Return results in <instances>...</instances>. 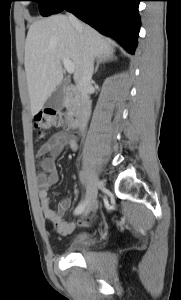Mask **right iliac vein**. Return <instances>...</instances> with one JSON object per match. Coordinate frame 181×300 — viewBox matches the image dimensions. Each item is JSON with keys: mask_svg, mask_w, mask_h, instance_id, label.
I'll return each mask as SVG.
<instances>
[{"mask_svg": "<svg viewBox=\"0 0 181 300\" xmlns=\"http://www.w3.org/2000/svg\"><path fill=\"white\" fill-rule=\"evenodd\" d=\"M101 186L100 180L93 176L88 189L87 196V207L85 213H89L90 211H94L96 209V198L98 193V188Z\"/></svg>", "mask_w": 181, "mask_h": 300, "instance_id": "right-iliac-vein-1", "label": "right iliac vein"}]
</instances>
